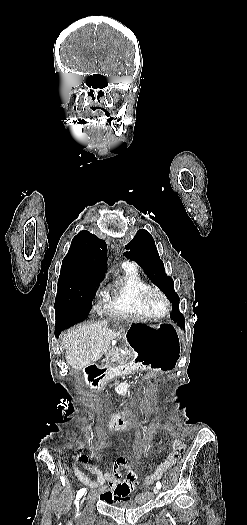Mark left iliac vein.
Returning <instances> with one entry per match:
<instances>
[{
    "mask_svg": "<svg viewBox=\"0 0 247 525\" xmlns=\"http://www.w3.org/2000/svg\"><path fill=\"white\" fill-rule=\"evenodd\" d=\"M153 491L156 495L159 493V489L157 487H155Z\"/></svg>",
    "mask_w": 247,
    "mask_h": 525,
    "instance_id": "left-iliac-vein-1",
    "label": "left iliac vein"
}]
</instances>
